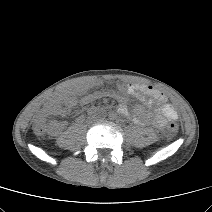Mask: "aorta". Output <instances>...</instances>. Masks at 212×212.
<instances>
[{"instance_id": "aorta-1", "label": "aorta", "mask_w": 212, "mask_h": 212, "mask_svg": "<svg viewBox=\"0 0 212 212\" xmlns=\"http://www.w3.org/2000/svg\"><path fill=\"white\" fill-rule=\"evenodd\" d=\"M111 119L113 121H119L121 119V114L119 112H113L111 114Z\"/></svg>"}]
</instances>
